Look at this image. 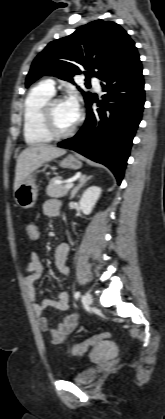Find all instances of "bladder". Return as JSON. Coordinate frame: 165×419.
<instances>
[{
    "label": "bladder",
    "instance_id": "obj_1",
    "mask_svg": "<svg viewBox=\"0 0 165 419\" xmlns=\"http://www.w3.org/2000/svg\"><path fill=\"white\" fill-rule=\"evenodd\" d=\"M97 375L98 373L95 369L87 368L75 374L72 380L77 384L88 385L95 381Z\"/></svg>",
    "mask_w": 165,
    "mask_h": 419
}]
</instances>
